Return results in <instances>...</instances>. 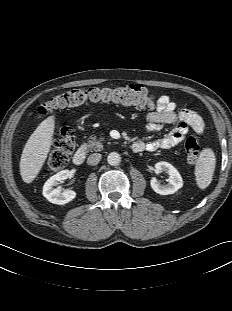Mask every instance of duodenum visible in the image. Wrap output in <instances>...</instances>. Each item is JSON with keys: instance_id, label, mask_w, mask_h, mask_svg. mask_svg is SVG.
<instances>
[{"instance_id": "duodenum-1", "label": "duodenum", "mask_w": 232, "mask_h": 311, "mask_svg": "<svg viewBox=\"0 0 232 311\" xmlns=\"http://www.w3.org/2000/svg\"><path fill=\"white\" fill-rule=\"evenodd\" d=\"M144 148H145V145L142 142H135L132 144V149L135 152H141L144 150ZM86 152H87L86 148H84V147L79 148L73 156L74 164H76V165L83 164L85 161V158H86Z\"/></svg>"}]
</instances>
